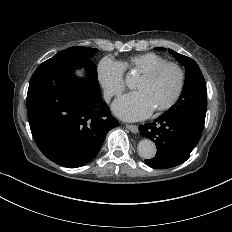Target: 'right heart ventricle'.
Listing matches in <instances>:
<instances>
[{"mask_svg": "<svg viewBox=\"0 0 232 232\" xmlns=\"http://www.w3.org/2000/svg\"><path fill=\"white\" fill-rule=\"evenodd\" d=\"M166 61L167 59L157 52L145 51L130 56L126 61L121 62L120 65L122 72L137 71L142 75L156 65Z\"/></svg>", "mask_w": 232, "mask_h": 232, "instance_id": "e07e8e85", "label": "right heart ventricle"}]
</instances>
